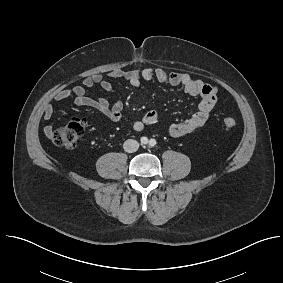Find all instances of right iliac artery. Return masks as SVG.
I'll return each mask as SVG.
<instances>
[{
    "label": "right iliac artery",
    "mask_w": 283,
    "mask_h": 283,
    "mask_svg": "<svg viewBox=\"0 0 283 283\" xmlns=\"http://www.w3.org/2000/svg\"><path fill=\"white\" fill-rule=\"evenodd\" d=\"M140 141H141L142 144H147L148 138L147 137H141Z\"/></svg>",
    "instance_id": "82829eb1"
}]
</instances>
